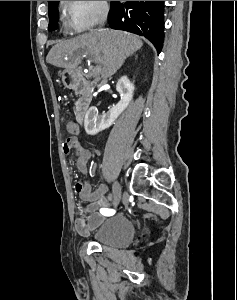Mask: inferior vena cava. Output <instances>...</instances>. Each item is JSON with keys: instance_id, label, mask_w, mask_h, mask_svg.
Returning a JSON list of instances; mask_svg holds the SVG:
<instances>
[{"instance_id": "1", "label": "inferior vena cava", "mask_w": 237, "mask_h": 300, "mask_svg": "<svg viewBox=\"0 0 237 300\" xmlns=\"http://www.w3.org/2000/svg\"><path fill=\"white\" fill-rule=\"evenodd\" d=\"M108 11H109L108 7H103L102 13L100 15V21H99L100 27H103V25L107 19Z\"/></svg>"}]
</instances>
